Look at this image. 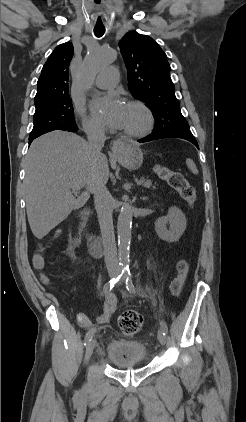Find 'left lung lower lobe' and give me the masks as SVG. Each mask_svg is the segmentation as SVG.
<instances>
[{
    "instance_id": "obj_1",
    "label": "left lung lower lobe",
    "mask_w": 246,
    "mask_h": 422,
    "mask_svg": "<svg viewBox=\"0 0 246 422\" xmlns=\"http://www.w3.org/2000/svg\"><path fill=\"white\" fill-rule=\"evenodd\" d=\"M170 137L182 138V139L188 140L191 143H193L197 148H199L197 141L192 135L191 131H164V132L151 133L145 138L139 139L138 142L144 143V142H148V141H152L156 139L170 138Z\"/></svg>"
}]
</instances>
